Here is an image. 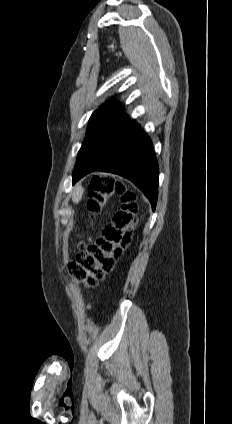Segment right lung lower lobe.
Instances as JSON below:
<instances>
[{
	"label": "right lung lower lobe",
	"instance_id": "right-lung-lower-lobe-1",
	"mask_svg": "<svg viewBox=\"0 0 232 424\" xmlns=\"http://www.w3.org/2000/svg\"><path fill=\"white\" fill-rule=\"evenodd\" d=\"M96 170L115 173L132 181L155 210L158 163L151 139L142 132L139 124L130 121L112 133L83 171L73 177V184Z\"/></svg>",
	"mask_w": 232,
	"mask_h": 424
}]
</instances>
